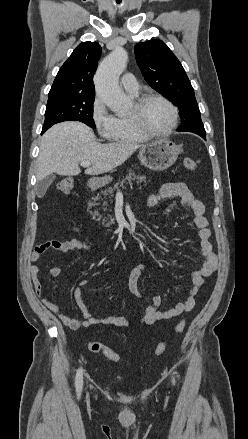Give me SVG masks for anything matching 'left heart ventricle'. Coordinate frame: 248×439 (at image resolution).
Returning <instances> with one entry per match:
<instances>
[{
    "label": "left heart ventricle",
    "mask_w": 248,
    "mask_h": 439,
    "mask_svg": "<svg viewBox=\"0 0 248 439\" xmlns=\"http://www.w3.org/2000/svg\"><path fill=\"white\" fill-rule=\"evenodd\" d=\"M133 110L134 107L131 113ZM143 119L146 127L151 131L164 132L171 126L172 112L163 101L153 99L145 105Z\"/></svg>",
    "instance_id": "obj_1"
}]
</instances>
